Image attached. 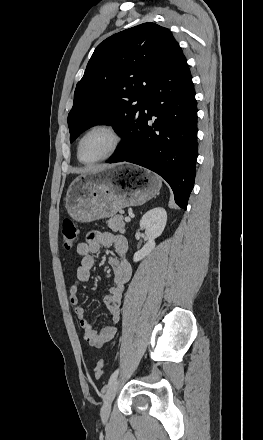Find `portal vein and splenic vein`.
<instances>
[{"mask_svg": "<svg viewBox=\"0 0 263 440\" xmlns=\"http://www.w3.org/2000/svg\"><path fill=\"white\" fill-rule=\"evenodd\" d=\"M124 220H125L126 222H130V221H131V218L128 217V216H126V217L124 218Z\"/></svg>", "mask_w": 263, "mask_h": 440, "instance_id": "portal-vein-and-splenic-vein-1", "label": "portal vein and splenic vein"}]
</instances>
